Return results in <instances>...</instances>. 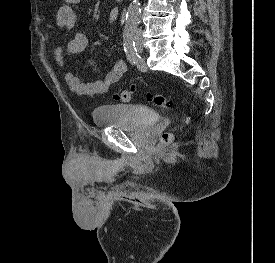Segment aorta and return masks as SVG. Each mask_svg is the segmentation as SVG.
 <instances>
[{
    "label": "aorta",
    "instance_id": "obj_1",
    "mask_svg": "<svg viewBox=\"0 0 275 263\" xmlns=\"http://www.w3.org/2000/svg\"><path fill=\"white\" fill-rule=\"evenodd\" d=\"M140 13L141 8L139 0H132L126 13V26L131 28L137 27L140 20Z\"/></svg>",
    "mask_w": 275,
    "mask_h": 263
}]
</instances>
